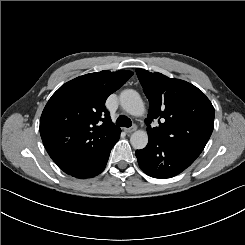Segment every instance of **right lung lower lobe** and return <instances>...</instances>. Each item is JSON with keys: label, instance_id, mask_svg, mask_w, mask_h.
Returning <instances> with one entry per match:
<instances>
[{"label": "right lung lower lobe", "instance_id": "right-lung-lower-lobe-1", "mask_svg": "<svg viewBox=\"0 0 245 245\" xmlns=\"http://www.w3.org/2000/svg\"><path fill=\"white\" fill-rule=\"evenodd\" d=\"M119 137L120 135L116 137V139L107 148L101 150L100 152L88 154L82 157L73 167L63 171L66 174L79 179L92 178L100 174L104 170L110 155V151L119 140Z\"/></svg>", "mask_w": 245, "mask_h": 245}]
</instances>
